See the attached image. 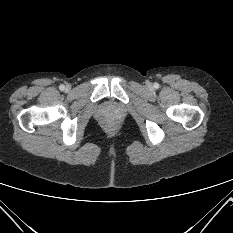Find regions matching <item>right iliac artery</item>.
<instances>
[{
	"instance_id": "1",
	"label": "right iliac artery",
	"mask_w": 233,
	"mask_h": 233,
	"mask_svg": "<svg viewBox=\"0 0 233 233\" xmlns=\"http://www.w3.org/2000/svg\"><path fill=\"white\" fill-rule=\"evenodd\" d=\"M59 89H60L61 91H63V90L65 89V86H64L63 84H61V85L59 86Z\"/></svg>"
}]
</instances>
